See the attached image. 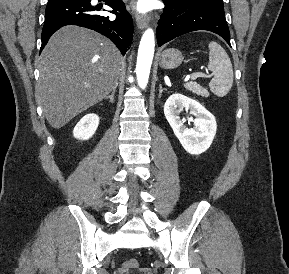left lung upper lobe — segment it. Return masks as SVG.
I'll list each match as a JSON object with an SVG mask.
<instances>
[{
	"label": "left lung upper lobe",
	"instance_id": "5c2ea615",
	"mask_svg": "<svg viewBox=\"0 0 289 274\" xmlns=\"http://www.w3.org/2000/svg\"><path fill=\"white\" fill-rule=\"evenodd\" d=\"M170 3L171 6H181L184 3H194V2H210L223 5L222 0H164Z\"/></svg>",
	"mask_w": 289,
	"mask_h": 274
}]
</instances>
